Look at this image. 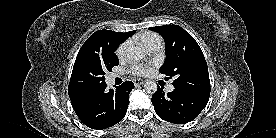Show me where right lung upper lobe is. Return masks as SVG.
<instances>
[{"mask_svg":"<svg viewBox=\"0 0 276 138\" xmlns=\"http://www.w3.org/2000/svg\"><path fill=\"white\" fill-rule=\"evenodd\" d=\"M134 31L126 33L114 32L111 30H98L93 33L81 47L78 56L83 54L88 49H112L115 50L124 42L128 37L133 35ZM69 96L75 108H77L80 100L84 97L85 92L78 91L69 84Z\"/></svg>","mask_w":276,"mask_h":138,"instance_id":"1","label":"right lung upper lobe"}]
</instances>
